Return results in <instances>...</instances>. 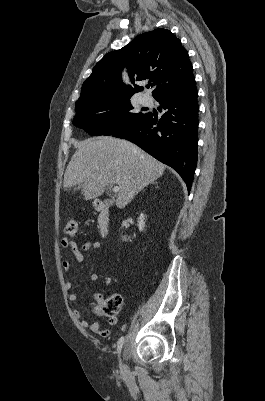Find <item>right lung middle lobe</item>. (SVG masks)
<instances>
[{"label":"right lung middle lobe","mask_w":265,"mask_h":401,"mask_svg":"<svg viewBox=\"0 0 265 401\" xmlns=\"http://www.w3.org/2000/svg\"><path fill=\"white\" fill-rule=\"evenodd\" d=\"M132 110L130 97L101 96L76 105L73 124L92 136L113 135L146 116Z\"/></svg>","instance_id":"1"}]
</instances>
